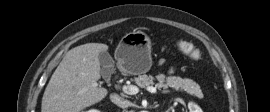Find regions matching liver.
<instances>
[{
  "label": "liver",
  "mask_w": 270,
  "mask_h": 112,
  "mask_svg": "<svg viewBox=\"0 0 270 112\" xmlns=\"http://www.w3.org/2000/svg\"><path fill=\"white\" fill-rule=\"evenodd\" d=\"M107 49L106 44L87 43L68 51L45 89L41 112H80L104 99L108 91L97 81L99 55Z\"/></svg>",
  "instance_id": "6515ba94"
}]
</instances>
